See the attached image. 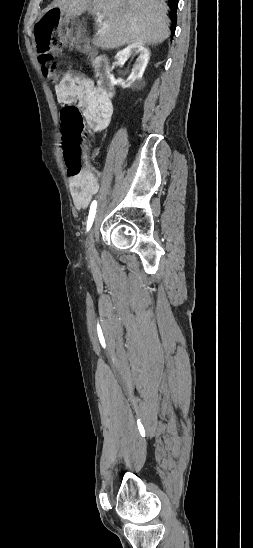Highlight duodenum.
<instances>
[{
  "instance_id": "1",
  "label": "duodenum",
  "mask_w": 253,
  "mask_h": 548,
  "mask_svg": "<svg viewBox=\"0 0 253 548\" xmlns=\"http://www.w3.org/2000/svg\"><path fill=\"white\" fill-rule=\"evenodd\" d=\"M94 71L98 88L107 97L114 94V86L111 81V68L106 56H97L94 60Z\"/></svg>"
}]
</instances>
